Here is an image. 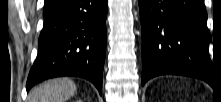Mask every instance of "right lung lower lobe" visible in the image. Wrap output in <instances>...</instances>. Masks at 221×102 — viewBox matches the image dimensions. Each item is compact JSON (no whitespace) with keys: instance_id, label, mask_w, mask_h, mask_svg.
<instances>
[{"instance_id":"1","label":"right lung lower lobe","mask_w":221,"mask_h":102,"mask_svg":"<svg viewBox=\"0 0 221 102\" xmlns=\"http://www.w3.org/2000/svg\"><path fill=\"white\" fill-rule=\"evenodd\" d=\"M106 16L107 0H57L45 9L27 92L49 78L77 76L91 81L102 94Z\"/></svg>"}]
</instances>
